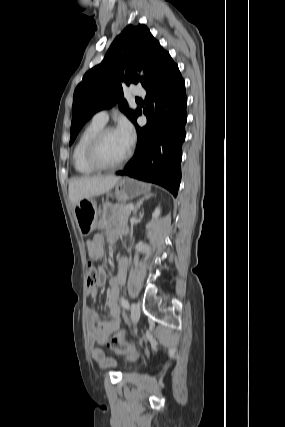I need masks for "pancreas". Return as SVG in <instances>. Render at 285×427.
<instances>
[{
    "label": "pancreas",
    "instance_id": "pancreas-1",
    "mask_svg": "<svg viewBox=\"0 0 285 427\" xmlns=\"http://www.w3.org/2000/svg\"><path fill=\"white\" fill-rule=\"evenodd\" d=\"M127 205L121 204L115 206V220L117 222H127L131 211L128 210Z\"/></svg>",
    "mask_w": 285,
    "mask_h": 427
}]
</instances>
